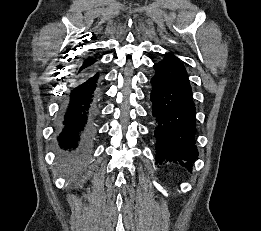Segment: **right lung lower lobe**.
I'll list each match as a JSON object with an SVG mask.
<instances>
[{"label": "right lung lower lobe", "instance_id": "obj_1", "mask_svg": "<svg viewBox=\"0 0 261 231\" xmlns=\"http://www.w3.org/2000/svg\"><path fill=\"white\" fill-rule=\"evenodd\" d=\"M100 73L94 68L75 77L64 94L57 122L60 155L66 163H79L88 155L94 136Z\"/></svg>", "mask_w": 261, "mask_h": 231}]
</instances>
